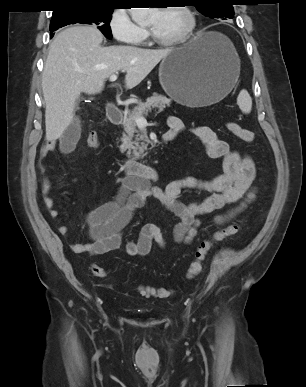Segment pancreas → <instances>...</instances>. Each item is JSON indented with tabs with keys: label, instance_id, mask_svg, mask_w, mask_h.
Here are the masks:
<instances>
[{
	"label": "pancreas",
	"instance_id": "pancreas-1",
	"mask_svg": "<svg viewBox=\"0 0 306 387\" xmlns=\"http://www.w3.org/2000/svg\"><path fill=\"white\" fill-rule=\"evenodd\" d=\"M170 104L171 99L157 93L149 97L146 102L139 101L133 111L124 117L123 126L125 133L121 138L122 144L119 147L120 151L122 153L127 151L126 155L128 158L134 160L143 159L146 155L145 151L147 150L149 139L145 130L137 129L134 118L139 115H148L153 109H157V113H160L166 106H170Z\"/></svg>",
	"mask_w": 306,
	"mask_h": 387
}]
</instances>
